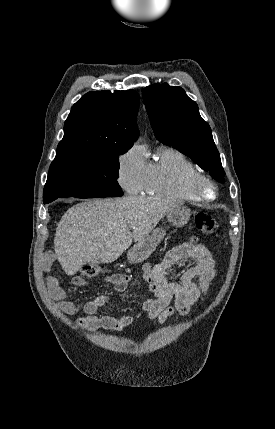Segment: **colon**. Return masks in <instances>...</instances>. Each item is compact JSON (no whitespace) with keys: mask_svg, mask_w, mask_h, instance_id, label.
Returning <instances> with one entry per match:
<instances>
[{"mask_svg":"<svg viewBox=\"0 0 275 429\" xmlns=\"http://www.w3.org/2000/svg\"><path fill=\"white\" fill-rule=\"evenodd\" d=\"M195 224L198 230L205 234H213L218 230V222L210 214L198 212L195 215ZM103 270L96 265L87 264L81 268V274L86 279H96L102 275Z\"/></svg>","mask_w":275,"mask_h":429,"instance_id":"5ec220e1","label":"colon"}]
</instances>
